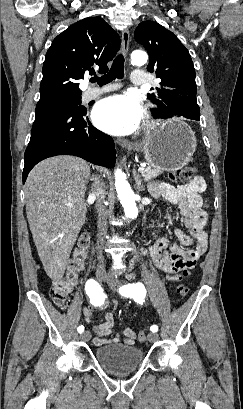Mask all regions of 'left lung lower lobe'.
Listing matches in <instances>:
<instances>
[{"label":"left lung lower lobe","instance_id":"0a47b994","mask_svg":"<svg viewBox=\"0 0 243 409\" xmlns=\"http://www.w3.org/2000/svg\"><path fill=\"white\" fill-rule=\"evenodd\" d=\"M177 113H181V111H179V110H177V111H175V112H170V113H168V116L169 117H172V116H180V115H178ZM184 117H186V118H189V119H195V120H200V113L198 114V113H195V114H192V115H189V114H186V115H184ZM168 118V117H167Z\"/></svg>","mask_w":243,"mask_h":409}]
</instances>
